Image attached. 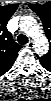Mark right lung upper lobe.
<instances>
[{
	"mask_svg": "<svg viewBox=\"0 0 51 101\" xmlns=\"http://www.w3.org/2000/svg\"><path fill=\"white\" fill-rule=\"evenodd\" d=\"M17 7L18 4L0 7V75L12 67L18 56V51L22 47L13 41L11 33L6 28L8 20Z\"/></svg>",
	"mask_w": 51,
	"mask_h": 101,
	"instance_id": "cb5924a9",
	"label": "right lung upper lobe"
}]
</instances>
